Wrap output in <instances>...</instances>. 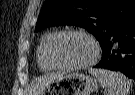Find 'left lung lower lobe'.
Here are the masks:
<instances>
[{"instance_id":"0a47b994","label":"left lung lower lobe","mask_w":135,"mask_h":95,"mask_svg":"<svg viewBox=\"0 0 135 95\" xmlns=\"http://www.w3.org/2000/svg\"><path fill=\"white\" fill-rule=\"evenodd\" d=\"M95 68L119 71L135 81V16L119 26L103 44Z\"/></svg>"}]
</instances>
